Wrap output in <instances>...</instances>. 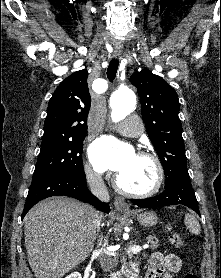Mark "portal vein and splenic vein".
<instances>
[{
    "label": "portal vein and splenic vein",
    "instance_id": "portal-vein-and-splenic-vein-1",
    "mask_svg": "<svg viewBox=\"0 0 221 278\" xmlns=\"http://www.w3.org/2000/svg\"><path fill=\"white\" fill-rule=\"evenodd\" d=\"M143 247H144V248H148L149 246H148V244H146V245H144Z\"/></svg>",
    "mask_w": 221,
    "mask_h": 278
}]
</instances>
